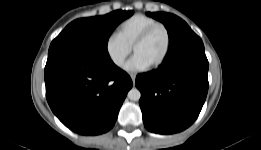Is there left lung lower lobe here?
I'll list each match as a JSON object with an SVG mask.
<instances>
[{"mask_svg":"<svg viewBox=\"0 0 261 150\" xmlns=\"http://www.w3.org/2000/svg\"><path fill=\"white\" fill-rule=\"evenodd\" d=\"M207 74L208 60L203 42L190 31L170 46L156 70L136 77L146 129L172 134L188 128L205 102Z\"/></svg>","mask_w":261,"mask_h":150,"instance_id":"left-lung-lower-lobe-1","label":"left lung lower lobe"}]
</instances>
